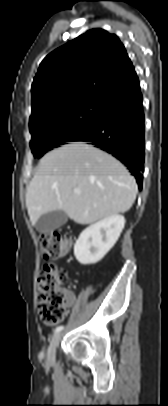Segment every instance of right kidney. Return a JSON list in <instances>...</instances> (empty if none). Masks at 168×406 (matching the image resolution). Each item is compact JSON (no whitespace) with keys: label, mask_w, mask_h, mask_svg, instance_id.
Instances as JSON below:
<instances>
[{"label":"right kidney","mask_w":168,"mask_h":406,"mask_svg":"<svg viewBox=\"0 0 168 406\" xmlns=\"http://www.w3.org/2000/svg\"><path fill=\"white\" fill-rule=\"evenodd\" d=\"M125 225L122 215L104 218L82 231L74 245V255L83 265L99 262L117 242Z\"/></svg>","instance_id":"obj_1"}]
</instances>
